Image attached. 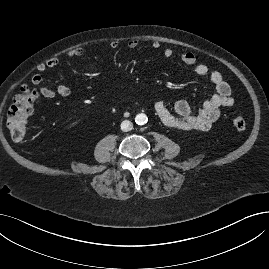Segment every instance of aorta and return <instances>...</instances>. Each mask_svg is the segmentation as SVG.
Listing matches in <instances>:
<instances>
[{"label":"aorta","instance_id":"762f6f07","mask_svg":"<svg viewBox=\"0 0 269 269\" xmlns=\"http://www.w3.org/2000/svg\"><path fill=\"white\" fill-rule=\"evenodd\" d=\"M135 122L139 125H143L147 122V116L145 114H138L136 117H135Z\"/></svg>","mask_w":269,"mask_h":269}]
</instances>
